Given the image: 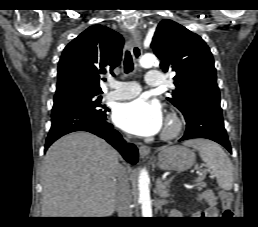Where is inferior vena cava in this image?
I'll use <instances>...</instances> for the list:
<instances>
[{
  "label": "inferior vena cava",
  "instance_id": "inferior-vena-cava-1",
  "mask_svg": "<svg viewBox=\"0 0 258 227\" xmlns=\"http://www.w3.org/2000/svg\"><path fill=\"white\" fill-rule=\"evenodd\" d=\"M117 189L115 195V206L118 217H132L131 210V189L127 172L123 166H119L116 172Z\"/></svg>",
  "mask_w": 258,
  "mask_h": 227
}]
</instances>
